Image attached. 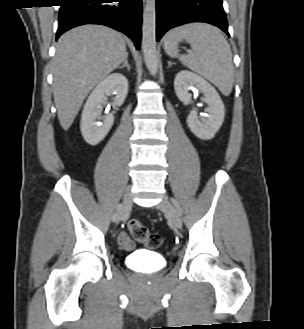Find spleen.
<instances>
[{
    "label": "spleen",
    "instance_id": "spleen-1",
    "mask_svg": "<svg viewBox=\"0 0 304 329\" xmlns=\"http://www.w3.org/2000/svg\"><path fill=\"white\" fill-rule=\"evenodd\" d=\"M186 40L192 53L180 55L178 42ZM164 50L183 65L213 83L223 95H230L234 82L232 53L227 40L216 27L205 23H190L170 31L164 40Z\"/></svg>",
    "mask_w": 304,
    "mask_h": 329
}]
</instances>
